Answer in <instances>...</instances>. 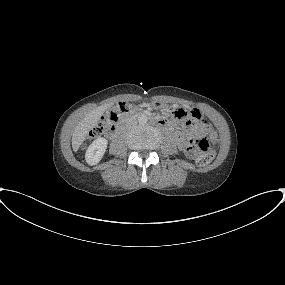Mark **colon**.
I'll list each match as a JSON object with an SVG mask.
<instances>
[{"label": "colon", "instance_id": "colon-1", "mask_svg": "<svg viewBox=\"0 0 285 285\" xmlns=\"http://www.w3.org/2000/svg\"><path fill=\"white\" fill-rule=\"evenodd\" d=\"M131 108L132 105L129 102H119L116 107L107 114L106 119L102 120V122L99 124V127L93 131L90 136H98L103 131L105 125L117 121L120 114L128 112ZM173 116L178 121H185L189 118L194 119L192 111L182 107H176L173 110ZM212 139L214 140V135H212ZM187 149L189 151L198 152L196 161L200 167L208 166L214 159L215 152L214 149L210 146L208 139L202 136H198L195 133L194 129H191L188 133Z\"/></svg>", "mask_w": 285, "mask_h": 285}]
</instances>
